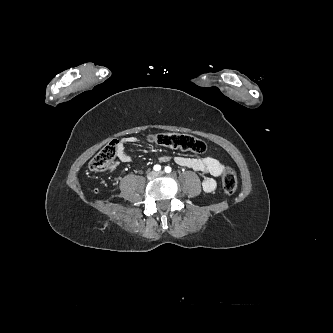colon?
I'll return each mask as SVG.
<instances>
[{"mask_svg":"<svg viewBox=\"0 0 333 333\" xmlns=\"http://www.w3.org/2000/svg\"><path fill=\"white\" fill-rule=\"evenodd\" d=\"M148 140L160 146L195 154H203L207 151V145L204 141L189 134L165 132L150 135ZM117 152V141H111L90 161V169L93 171H104L112 168ZM237 185L238 182L235 170L225 165L222 172V186L224 192L228 195H232L235 193Z\"/></svg>","mask_w":333,"mask_h":333,"instance_id":"1","label":"colon"}]
</instances>
